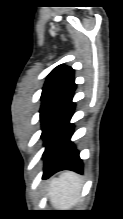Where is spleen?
Returning <instances> with one entry per match:
<instances>
[{
  "label": "spleen",
  "mask_w": 123,
  "mask_h": 219,
  "mask_svg": "<svg viewBox=\"0 0 123 219\" xmlns=\"http://www.w3.org/2000/svg\"><path fill=\"white\" fill-rule=\"evenodd\" d=\"M81 188L80 176L72 172H62L59 178L50 183V201L58 210H69L77 203Z\"/></svg>",
  "instance_id": "obj_1"
}]
</instances>
